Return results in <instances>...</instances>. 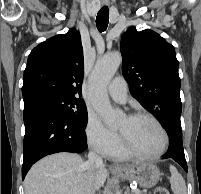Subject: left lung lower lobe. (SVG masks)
Segmentation results:
<instances>
[{"instance_id": "1", "label": "left lung lower lobe", "mask_w": 201, "mask_h": 194, "mask_svg": "<svg viewBox=\"0 0 201 194\" xmlns=\"http://www.w3.org/2000/svg\"><path fill=\"white\" fill-rule=\"evenodd\" d=\"M163 127L167 131L170 138V149L163 155V158H172L187 172L188 170L182 144V128L180 120L170 119Z\"/></svg>"}]
</instances>
